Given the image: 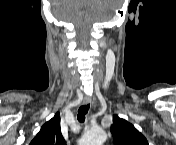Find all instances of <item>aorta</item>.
I'll use <instances>...</instances> for the list:
<instances>
[{
	"mask_svg": "<svg viewBox=\"0 0 176 145\" xmlns=\"http://www.w3.org/2000/svg\"><path fill=\"white\" fill-rule=\"evenodd\" d=\"M107 135L100 127L89 129L83 136L81 143L83 145H103Z\"/></svg>",
	"mask_w": 176,
	"mask_h": 145,
	"instance_id": "aorta-1",
	"label": "aorta"
}]
</instances>
